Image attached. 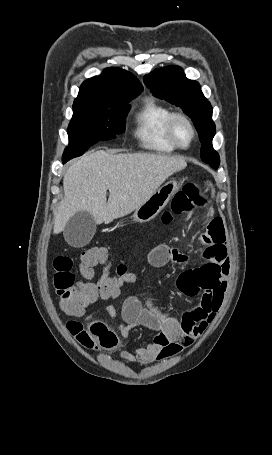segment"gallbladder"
I'll use <instances>...</instances> for the list:
<instances>
[{"instance_id":"1","label":"gallbladder","mask_w":272,"mask_h":455,"mask_svg":"<svg viewBox=\"0 0 272 455\" xmlns=\"http://www.w3.org/2000/svg\"><path fill=\"white\" fill-rule=\"evenodd\" d=\"M96 232V222L87 211L77 212L65 225L63 235L66 242L74 247L89 243Z\"/></svg>"}]
</instances>
